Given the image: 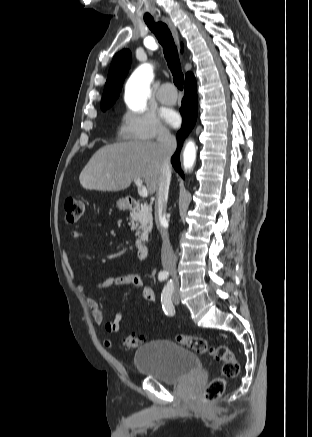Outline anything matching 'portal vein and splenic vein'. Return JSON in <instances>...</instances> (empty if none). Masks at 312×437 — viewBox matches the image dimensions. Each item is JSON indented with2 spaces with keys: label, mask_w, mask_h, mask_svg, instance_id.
Wrapping results in <instances>:
<instances>
[{
  "label": "portal vein and splenic vein",
  "mask_w": 312,
  "mask_h": 437,
  "mask_svg": "<svg viewBox=\"0 0 312 437\" xmlns=\"http://www.w3.org/2000/svg\"><path fill=\"white\" fill-rule=\"evenodd\" d=\"M134 182L137 185L138 193L141 197L146 198L148 196V190L143 185L141 178L135 177Z\"/></svg>",
  "instance_id": "18ae733b"
}]
</instances>
